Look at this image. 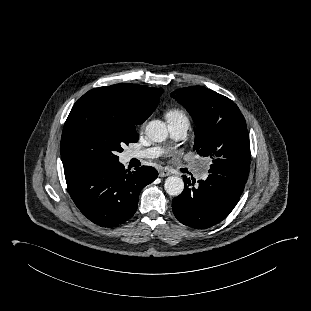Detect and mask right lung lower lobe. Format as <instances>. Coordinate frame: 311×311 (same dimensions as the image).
Returning <instances> with one entry per match:
<instances>
[{
    "mask_svg": "<svg viewBox=\"0 0 311 311\" xmlns=\"http://www.w3.org/2000/svg\"><path fill=\"white\" fill-rule=\"evenodd\" d=\"M65 179L71 198L93 223L112 228L137 210L139 193L153 182L158 172L150 166L127 172L119 163L64 166Z\"/></svg>",
    "mask_w": 311,
    "mask_h": 311,
    "instance_id": "98d812e1",
    "label": "right lung lower lobe"
}]
</instances>
